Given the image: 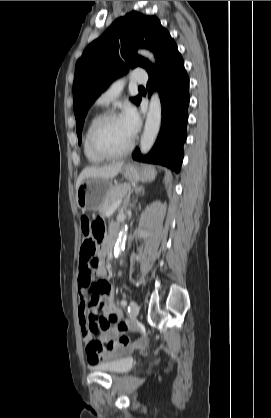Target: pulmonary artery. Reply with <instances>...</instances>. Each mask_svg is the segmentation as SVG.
<instances>
[{
  "instance_id": "pulmonary-artery-1",
  "label": "pulmonary artery",
  "mask_w": 271,
  "mask_h": 418,
  "mask_svg": "<svg viewBox=\"0 0 271 418\" xmlns=\"http://www.w3.org/2000/svg\"><path fill=\"white\" fill-rule=\"evenodd\" d=\"M131 80L135 83L143 84L147 81V75L144 71L136 70L131 75ZM123 80L113 82L96 100V104L101 106L108 105L112 100L116 99L123 88Z\"/></svg>"
}]
</instances>
